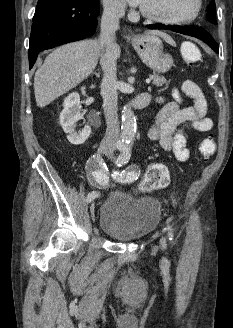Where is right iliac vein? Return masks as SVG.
Returning <instances> with one entry per match:
<instances>
[{"label":"right iliac vein","mask_w":233,"mask_h":328,"mask_svg":"<svg viewBox=\"0 0 233 328\" xmlns=\"http://www.w3.org/2000/svg\"><path fill=\"white\" fill-rule=\"evenodd\" d=\"M109 152V149L107 147H100L98 149V156L102 155V154H107ZM90 212H91V218L94 221L95 220V206L94 203H92L90 205Z\"/></svg>","instance_id":"obj_1"}]
</instances>
